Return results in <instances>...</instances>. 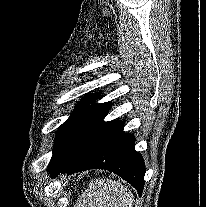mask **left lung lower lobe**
Returning <instances> with one entry per match:
<instances>
[{"instance_id": "0a47b994", "label": "left lung lower lobe", "mask_w": 206, "mask_h": 207, "mask_svg": "<svg viewBox=\"0 0 206 207\" xmlns=\"http://www.w3.org/2000/svg\"><path fill=\"white\" fill-rule=\"evenodd\" d=\"M107 113L96 122L79 149L68 160L54 165L50 174L105 169L121 176L141 195L145 165L142 156L135 151L134 136L123 132L122 121L104 122Z\"/></svg>"}]
</instances>
